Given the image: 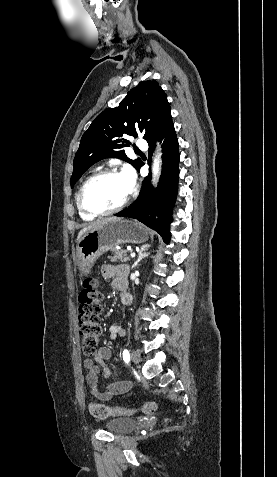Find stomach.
Segmentation results:
<instances>
[{
	"label": "stomach",
	"mask_w": 277,
	"mask_h": 477,
	"mask_svg": "<svg viewBox=\"0 0 277 477\" xmlns=\"http://www.w3.org/2000/svg\"><path fill=\"white\" fill-rule=\"evenodd\" d=\"M148 238V230L135 220L105 221L79 237L76 246L78 269L86 276L103 253L124 243H144Z\"/></svg>",
	"instance_id": "0dacf381"
}]
</instances>
